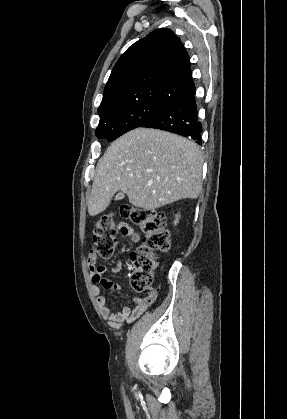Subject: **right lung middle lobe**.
<instances>
[{
  "label": "right lung middle lobe",
  "mask_w": 287,
  "mask_h": 419,
  "mask_svg": "<svg viewBox=\"0 0 287 419\" xmlns=\"http://www.w3.org/2000/svg\"><path fill=\"white\" fill-rule=\"evenodd\" d=\"M165 105L162 102H136L99 114L100 122L95 135L99 139L113 141L124 133L139 127Z\"/></svg>",
  "instance_id": "1"
}]
</instances>
